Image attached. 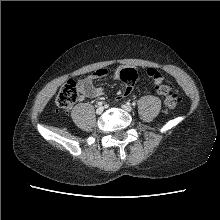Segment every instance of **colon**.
Instances as JSON below:
<instances>
[{"label": "colon", "mask_w": 220, "mask_h": 220, "mask_svg": "<svg viewBox=\"0 0 220 220\" xmlns=\"http://www.w3.org/2000/svg\"><path fill=\"white\" fill-rule=\"evenodd\" d=\"M148 77L160 82L157 86L159 94L164 96V103L168 110L174 109L178 104L177 96L172 92L169 85L161 84L163 77L156 69L147 70ZM138 78L137 71L133 68H125L120 72V80L124 83L123 94H129L133 89ZM79 96L78 86L74 80H68L60 89L56 104L63 110L70 109L77 101Z\"/></svg>", "instance_id": "colon-1"}]
</instances>
